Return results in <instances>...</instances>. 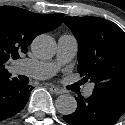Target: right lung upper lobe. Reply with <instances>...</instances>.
Masks as SVG:
<instances>
[{
	"label": "right lung upper lobe",
	"mask_w": 125,
	"mask_h": 125,
	"mask_svg": "<svg viewBox=\"0 0 125 125\" xmlns=\"http://www.w3.org/2000/svg\"><path fill=\"white\" fill-rule=\"evenodd\" d=\"M63 14H35L13 6L0 7V77L9 75L5 63L27 52L33 39L61 25Z\"/></svg>",
	"instance_id": "cb5924a9"
}]
</instances>
